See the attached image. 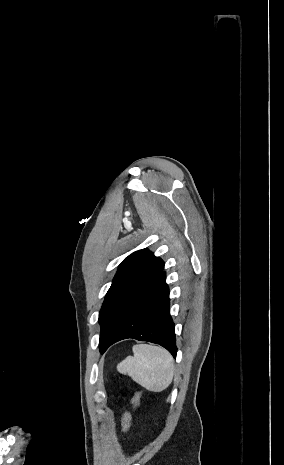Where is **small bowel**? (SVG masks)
<instances>
[{"label":"small bowel","mask_w":284,"mask_h":465,"mask_svg":"<svg viewBox=\"0 0 284 465\" xmlns=\"http://www.w3.org/2000/svg\"><path fill=\"white\" fill-rule=\"evenodd\" d=\"M131 426V417L125 414L122 421V431L127 432Z\"/></svg>","instance_id":"1"}]
</instances>
